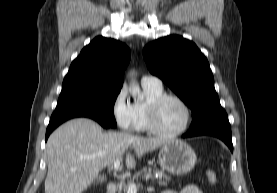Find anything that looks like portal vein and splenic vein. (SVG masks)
<instances>
[{"label": "portal vein and splenic vein", "instance_id": "portal-vein-and-splenic-vein-1", "mask_svg": "<svg viewBox=\"0 0 277 193\" xmlns=\"http://www.w3.org/2000/svg\"><path fill=\"white\" fill-rule=\"evenodd\" d=\"M113 168L115 171H118L120 168V160L116 159L113 163ZM138 185L134 182L130 183L128 187V193H137Z\"/></svg>", "mask_w": 277, "mask_h": 193}]
</instances>
